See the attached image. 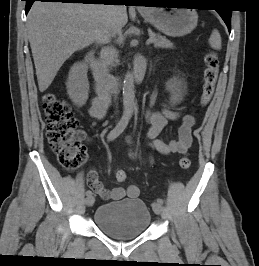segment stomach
Wrapping results in <instances>:
<instances>
[{"label": "stomach", "instance_id": "stomach-1", "mask_svg": "<svg viewBox=\"0 0 259 266\" xmlns=\"http://www.w3.org/2000/svg\"><path fill=\"white\" fill-rule=\"evenodd\" d=\"M170 5L181 7L183 3L172 2ZM154 7L141 11L146 21L167 36L178 37L189 34L197 26L198 14L194 9Z\"/></svg>", "mask_w": 259, "mask_h": 266}]
</instances>
